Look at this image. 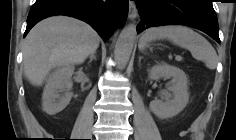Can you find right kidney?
<instances>
[{"mask_svg":"<svg viewBox=\"0 0 236 140\" xmlns=\"http://www.w3.org/2000/svg\"><path fill=\"white\" fill-rule=\"evenodd\" d=\"M74 73L72 65H65L56 69L48 78L42 95L43 111L48 115H55L62 111L70 102L73 86L71 77Z\"/></svg>","mask_w":236,"mask_h":140,"instance_id":"ca27d5eb","label":"right kidney"}]
</instances>
